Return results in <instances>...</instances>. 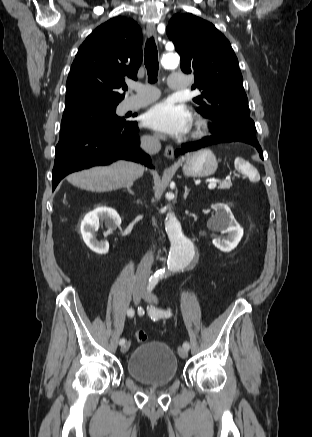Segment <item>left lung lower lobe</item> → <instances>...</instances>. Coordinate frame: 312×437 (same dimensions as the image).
Returning a JSON list of instances; mask_svg holds the SVG:
<instances>
[{"label": "left lung lower lobe", "instance_id": "obj_1", "mask_svg": "<svg viewBox=\"0 0 312 437\" xmlns=\"http://www.w3.org/2000/svg\"><path fill=\"white\" fill-rule=\"evenodd\" d=\"M237 141L243 142L241 140H238V138L228 134L225 131L215 130L214 134L210 137L204 138L200 141L182 144L181 149L176 151V156H178V154H184V153L189 152V151H195L197 149H200V148L212 145V144L223 143V142H237ZM245 143H248V144L254 146L258 150L260 157L263 159L262 149H261L258 141H251V142H245Z\"/></svg>", "mask_w": 312, "mask_h": 437}]
</instances>
